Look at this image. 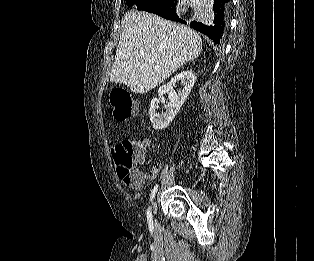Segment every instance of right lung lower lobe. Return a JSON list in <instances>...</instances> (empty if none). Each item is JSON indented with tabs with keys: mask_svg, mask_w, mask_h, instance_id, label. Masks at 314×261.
I'll return each mask as SVG.
<instances>
[{
	"mask_svg": "<svg viewBox=\"0 0 314 261\" xmlns=\"http://www.w3.org/2000/svg\"><path fill=\"white\" fill-rule=\"evenodd\" d=\"M182 0H163L161 3L147 9L146 11L155 13L163 18L186 24L182 20V10L184 3ZM230 0H213L214 21L213 25H206L198 21H192L190 26L197 31L207 35L216 45H221L225 33Z\"/></svg>",
	"mask_w": 314,
	"mask_h": 261,
	"instance_id": "1",
	"label": "right lung lower lobe"
}]
</instances>
